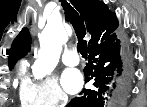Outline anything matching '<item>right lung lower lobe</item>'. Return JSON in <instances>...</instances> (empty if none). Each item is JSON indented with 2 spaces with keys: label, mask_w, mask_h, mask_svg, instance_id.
Instances as JSON below:
<instances>
[{
  "label": "right lung lower lobe",
  "mask_w": 147,
  "mask_h": 107,
  "mask_svg": "<svg viewBox=\"0 0 147 107\" xmlns=\"http://www.w3.org/2000/svg\"><path fill=\"white\" fill-rule=\"evenodd\" d=\"M85 82L94 80L93 89H84L67 107H103L104 96L111 92L124 97L129 90L131 70L120 57V41L113 33L89 47V64L84 68Z\"/></svg>",
  "instance_id": "obj_1"
}]
</instances>
